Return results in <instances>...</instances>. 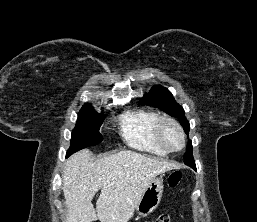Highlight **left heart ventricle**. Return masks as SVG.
Instances as JSON below:
<instances>
[{
  "instance_id": "1",
  "label": "left heart ventricle",
  "mask_w": 257,
  "mask_h": 222,
  "mask_svg": "<svg viewBox=\"0 0 257 222\" xmlns=\"http://www.w3.org/2000/svg\"><path fill=\"white\" fill-rule=\"evenodd\" d=\"M162 135L171 149H178L182 145V138L179 131L172 125L166 124L162 129Z\"/></svg>"
}]
</instances>
